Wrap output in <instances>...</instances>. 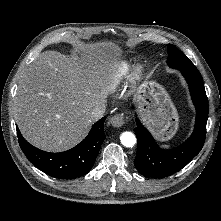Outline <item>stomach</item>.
I'll return each mask as SVG.
<instances>
[{
	"instance_id": "1",
	"label": "stomach",
	"mask_w": 221,
	"mask_h": 221,
	"mask_svg": "<svg viewBox=\"0 0 221 221\" xmlns=\"http://www.w3.org/2000/svg\"><path fill=\"white\" fill-rule=\"evenodd\" d=\"M137 99L141 117L156 139H172L179 127V116L162 85L153 80L145 81L138 89Z\"/></svg>"
}]
</instances>
